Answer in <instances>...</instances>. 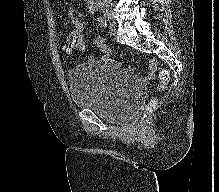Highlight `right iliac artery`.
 Segmentation results:
<instances>
[{
  "mask_svg": "<svg viewBox=\"0 0 219 192\" xmlns=\"http://www.w3.org/2000/svg\"><path fill=\"white\" fill-rule=\"evenodd\" d=\"M97 21L101 27H104V28L107 27V21H106V18L104 16H99L97 18Z\"/></svg>",
  "mask_w": 219,
  "mask_h": 192,
  "instance_id": "obj_1",
  "label": "right iliac artery"
}]
</instances>
